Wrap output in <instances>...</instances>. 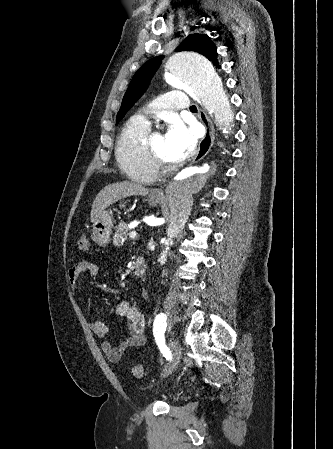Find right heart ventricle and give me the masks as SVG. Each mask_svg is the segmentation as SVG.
Listing matches in <instances>:
<instances>
[{
  "instance_id": "e07e8e85",
  "label": "right heart ventricle",
  "mask_w": 333,
  "mask_h": 449,
  "mask_svg": "<svg viewBox=\"0 0 333 449\" xmlns=\"http://www.w3.org/2000/svg\"><path fill=\"white\" fill-rule=\"evenodd\" d=\"M149 130L148 124L135 117L125 124L115 145L120 169L131 180L144 184L154 182L158 176L144 147Z\"/></svg>"
}]
</instances>
